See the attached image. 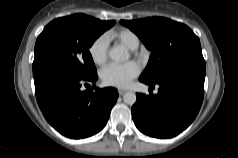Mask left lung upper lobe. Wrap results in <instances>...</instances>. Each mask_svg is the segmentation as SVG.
I'll list each match as a JSON object with an SVG mask.
<instances>
[{"label":"left lung upper lobe","mask_w":238,"mask_h":158,"mask_svg":"<svg viewBox=\"0 0 238 158\" xmlns=\"http://www.w3.org/2000/svg\"><path fill=\"white\" fill-rule=\"evenodd\" d=\"M151 51L139 80L155 83L168 72L190 64H205L199 38L182 23L163 17L121 20Z\"/></svg>","instance_id":"1"}]
</instances>
